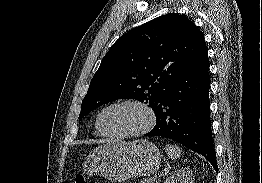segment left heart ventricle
Instances as JSON below:
<instances>
[{
    "mask_svg": "<svg viewBox=\"0 0 262 183\" xmlns=\"http://www.w3.org/2000/svg\"><path fill=\"white\" fill-rule=\"evenodd\" d=\"M147 123L144 110L133 105L110 108L102 116L103 128L113 134H124L143 128Z\"/></svg>",
    "mask_w": 262,
    "mask_h": 183,
    "instance_id": "1",
    "label": "left heart ventricle"
}]
</instances>
